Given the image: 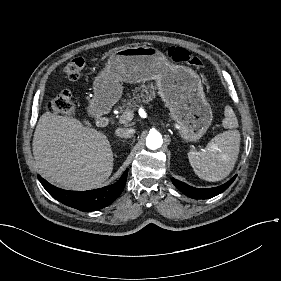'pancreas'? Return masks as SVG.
<instances>
[{
    "label": "pancreas",
    "instance_id": "obj_1",
    "mask_svg": "<svg viewBox=\"0 0 281 281\" xmlns=\"http://www.w3.org/2000/svg\"><path fill=\"white\" fill-rule=\"evenodd\" d=\"M155 90V84L154 83H149L146 86L140 85L139 87H136L133 90V97L130 98L128 96V99L126 102L123 104V106L120 107L119 112L121 113V117L127 113V111L130 108H133L132 102L135 103H144V102H149L152 100V96L154 95L153 91Z\"/></svg>",
    "mask_w": 281,
    "mask_h": 281
}]
</instances>
